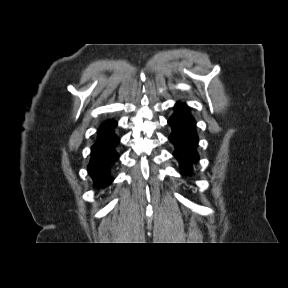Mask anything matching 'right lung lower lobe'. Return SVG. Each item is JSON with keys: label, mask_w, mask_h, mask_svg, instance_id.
Masks as SVG:
<instances>
[{"label": "right lung lower lobe", "mask_w": 288, "mask_h": 288, "mask_svg": "<svg viewBox=\"0 0 288 288\" xmlns=\"http://www.w3.org/2000/svg\"><path fill=\"white\" fill-rule=\"evenodd\" d=\"M119 141V137L111 132L108 137L97 140L91 148L88 173L98 189H104L112 182L111 171L119 159L117 152Z\"/></svg>", "instance_id": "1"}]
</instances>
